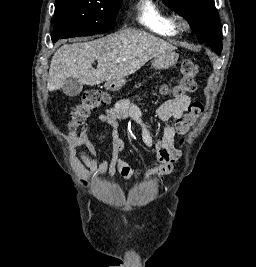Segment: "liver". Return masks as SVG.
<instances>
[{"label": "liver", "instance_id": "obj_1", "mask_svg": "<svg viewBox=\"0 0 256 267\" xmlns=\"http://www.w3.org/2000/svg\"><path fill=\"white\" fill-rule=\"evenodd\" d=\"M177 50L172 44L142 32L121 28L102 40L84 44H64L55 52L47 80V90H60L67 78H78L86 86L107 80H123L146 62L164 52ZM97 60V70L91 64Z\"/></svg>", "mask_w": 256, "mask_h": 267}]
</instances>
